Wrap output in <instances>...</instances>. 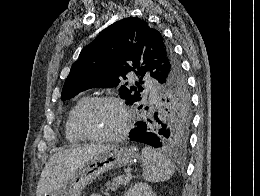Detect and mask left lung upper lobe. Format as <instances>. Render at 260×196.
Masks as SVG:
<instances>
[{"instance_id": "obj_1", "label": "left lung upper lobe", "mask_w": 260, "mask_h": 196, "mask_svg": "<svg viewBox=\"0 0 260 196\" xmlns=\"http://www.w3.org/2000/svg\"><path fill=\"white\" fill-rule=\"evenodd\" d=\"M130 72H135L140 82L131 90L121 86V98L127 104L139 102L143 76L149 73L157 79L160 86L156 104L138 107L142 109V122L149 132L159 135L160 147L185 150L192 122L186 80L161 32L140 18L127 17L113 23L82 50L65 81L61 99L90 88L117 86Z\"/></svg>"}]
</instances>
